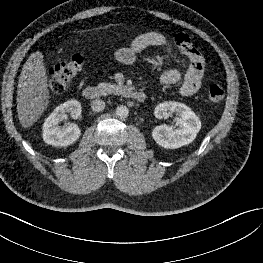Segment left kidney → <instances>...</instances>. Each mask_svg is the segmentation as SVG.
Returning <instances> with one entry per match:
<instances>
[{"mask_svg": "<svg viewBox=\"0 0 263 263\" xmlns=\"http://www.w3.org/2000/svg\"><path fill=\"white\" fill-rule=\"evenodd\" d=\"M172 114L178 116L176 130L167 125H160L152 131L155 142L167 149H176L192 143L201 129L199 117L183 103L163 102L157 105L154 111L158 119H166Z\"/></svg>", "mask_w": 263, "mask_h": 263, "instance_id": "1", "label": "left kidney"}]
</instances>
